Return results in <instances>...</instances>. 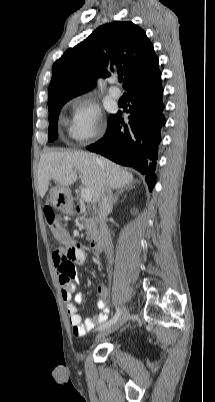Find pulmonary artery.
<instances>
[{"label":"pulmonary artery","instance_id":"obj_1","mask_svg":"<svg viewBox=\"0 0 215 402\" xmlns=\"http://www.w3.org/2000/svg\"><path fill=\"white\" fill-rule=\"evenodd\" d=\"M115 82H116L115 79L110 80L112 86L109 88V94L112 98L119 99L122 96V92L119 88L113 85Z\"/></svg>","mask_w":215,"mask_h":402}]
</instances>
